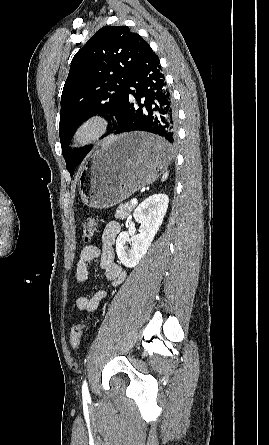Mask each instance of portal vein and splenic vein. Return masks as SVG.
<instances>
[{
    "label": "portal vein and splenic vein",
    "instance_id": "portal-vein-and-splenic-vein-1",
    "mask_svg": "<svg viewBox=\"0 0 269 445\" xmlns=\"http://www.w3.org/2000/svg\"><path fill=\"white\" fill-rule=\"evenodd\" d=\"M131 203H132L133 205L137 204V199H132V200H131Z\"/></svg>",
    "mask_w": 269,
    "mask_h": 445
}]
</instances>
